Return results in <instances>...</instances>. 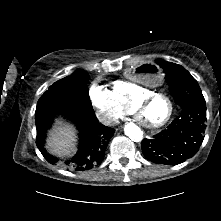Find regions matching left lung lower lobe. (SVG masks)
I'll return each instance as SVG.
<instances>
[{
	"mask_svg": "<svg viewBox=\"0 0 221 221\" xmlns=\"http://www.w3.org/2000/svg\"><path fill=\"white\" fill-rule=\"evenodd\" d=\"M206 120L205 101L182 107L180 116L166 130L142 141L144 156L165 165H177L192 158L203 142Z\"/></svg>",
	"mask_w": 221,
	"mask_h": 221,
	"instance_id": "obj_1",
	"label": "left lung lower lobe"
}]
</instances>
